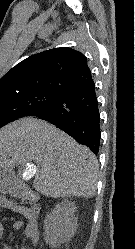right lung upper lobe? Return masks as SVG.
I'll return each instance as SVG.
<instances>
[{"label": "right lung upper lobe", "instance_id": "right-lung-upper-lobe-1", "mask_svg": "<svg viewBox=\"0 0 135 249\" xmlns=\"http://www.w3.org/2000/svg\"><path fill=\"white\" fill-rule=\"evenodd\" d=\"M93 81L87 58L69 47L50 49L21 61L0 79V96L31 91L65 92Z\"/></svg>", "mask_w": 135, "mask_h": 249}]
</instances>
